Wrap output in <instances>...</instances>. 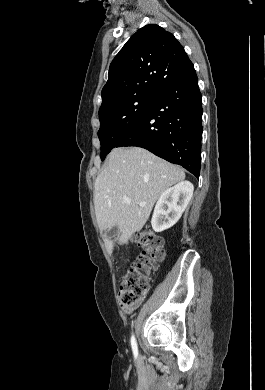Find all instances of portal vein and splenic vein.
<instances>
[{
  "mask_svg": "<svg viewBox=\"0 0 265 390\" xmlns=\"http://www.w3.org/2000/svg\"><path fill=\"white\" fill-rule=\"evenodd\" d=\"M123 202H124L125 204H129V203L131 202V199L128 198V197H124V198H123ZM139 205H140V206H144L145 203H140Z\"/></svg>",
  "mask_w": 265,
  "mask_h": 390,
  "instance_id": "18ae733b",
  "label": "portal vein and splenic vein"
}]
</instances>
